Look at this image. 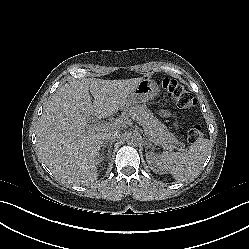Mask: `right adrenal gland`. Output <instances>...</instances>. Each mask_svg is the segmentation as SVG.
I'll return each mask as SVG.
<instances>
[{
    "instance_id": "obj_1",
    "label": "right adrenal gland",
    "mask_w": 249,
    "mask_h": 249,
    "mask_svg": "<svg viewBox=\"0 0 249 249\" xmlns=\"http://www.w3.org/2000/svg\"><path fill=\"white\" fill-rule=\"evenodd\" d=\"M102 146H103V148L101 149V151H102V153H104V147H106V145H102Z\"/></svg>"
}]
</instances>
